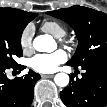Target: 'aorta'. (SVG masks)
I'll use <instances>...</instances> for the list:
<instances>
[{
  "label": "aorta",
  "mask_w": 107,
  "mask_h": 107,
  "mask_svg": "<svg viewBox=\"0 0 107 107\" xmlns=\"http://www.w3.org/2000/svg\"><path fill=\"white\" fill-rule=\"evenodd\" d=\"M33 47L39 52H53L57 44L50 35H39L33 40ZM55 84L66 87L69 84V76L66 73H58L54 77Z\"/></svg>",
  "instance_id": "762f6f07"
}]
</instances>
